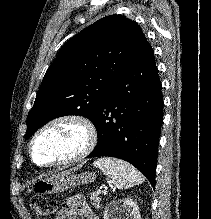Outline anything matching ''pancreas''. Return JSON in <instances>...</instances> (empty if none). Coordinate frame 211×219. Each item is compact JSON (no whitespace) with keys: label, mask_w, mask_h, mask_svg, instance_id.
I'll list each match as a JSON object with an SVG mask.
<instances>
[{"label":"pancreas","mask_w":211,"mask_h":219,"mask_svg":"<svg viewBox=\"0 0 211 219\" xmlns=\"http://www.w3.org/2000/svg\"><path fill=\"white\" fill-rule=\"evenodd\" d=\"M90 200H91V204L96 208V209H100V202H101V197L99 196L98 193H92L90 194Z\"/></svg>","instance_id":"pancreas-1"}]
</instances>
